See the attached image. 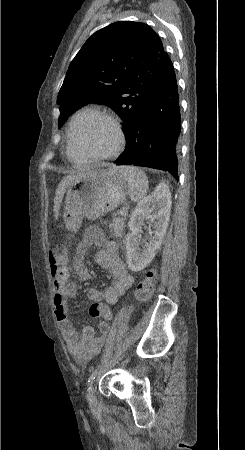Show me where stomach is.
<instances>
[{"mask_svg": "<svg viewBox=\"0 0 245 450\" xmlns=\"http://www.w3.org/2000/svg\"><path fill=\"white\" fill-rule=\"evenodd\" d=\"M129 187L118 168L97 169L75 179L65 199L64 222L76 231L83 218L96 220L126 201Z\"/></svg>", "mask_w": 245, "mask_h": 450, "instance_id": "0dacf381", "label": "stomach"}]
</instances>
